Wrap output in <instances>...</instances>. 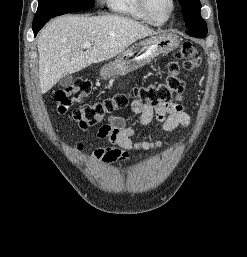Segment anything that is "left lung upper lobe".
Listing matches in <instances>:
<instances>
[{
    "instance_id": "5c2ea615",
    "label": "left lung upper lobe",
    "mask_w": 247,
    "mask_h": 257,
    "mask_svg": "<svg viewBox=\"0 0 247 257\" xmlns=\"http://www.w3.org/2000/svg\"><path fill=\"white\" fill-rule=\"evenodd\" d=\"M183 7V18L185 24L189 28L186 33H197L201 35L207 34V25L201 17L200 0H178Z\"/></svg>"
}]
</instances>
